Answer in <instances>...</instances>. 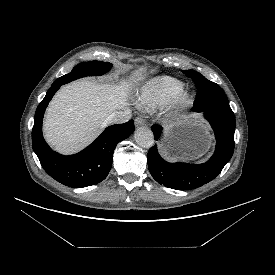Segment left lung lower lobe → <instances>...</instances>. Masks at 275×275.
<instances>
[{
    "label": "left lung lower lobe",
    "instance_id": "obj_1",
    "mask_svg": "<svg viewBox=\"0 0 275 275\" xmlns=\"http://www.w3.org/2000/svg\"><path fill=\"white\" fill-rule=\"evenodd\" d=\"M195 112H203L214 129L217 140L214 155L204 164L168 163L161 158L155 145L148 151V168L160 184L177 190H191L213 180L231 159L234 152L235 116L230 107L194 103ZM158 140L161 126L153 125Z\"/></svg>",
    "mask_w": 275,
    "mask_h": 275
}]
</instances>
